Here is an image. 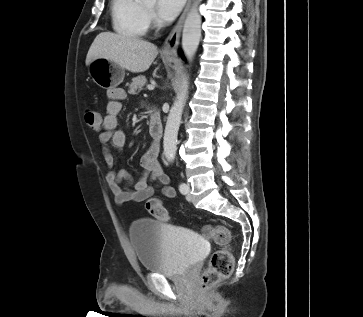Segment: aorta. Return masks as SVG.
Returning <instances> with one entry per match:
<instances>
[{
  "mask_svg": "<svg viewBox=\"0 0 363 317\" xmlns=\"http://www.w3.org/2000/svg\"><path fill=\"white\" fill-rule=\"evenodd\" d=\"M148 3H155L156 0H144ZM196 0L187 14L182 34V49L188 61L194 57L201 38V15L198 11ZM187 85L178 93L167 118L164 132V155L169 162L175 159L177 149V136L181 123L182 112L186 101Z\"/></svg>",
  "mask_w": 363,
  "mask_h": 317,
  "instance_id": "762f6f07",
  "label": "aorta"
}]
</instances>
